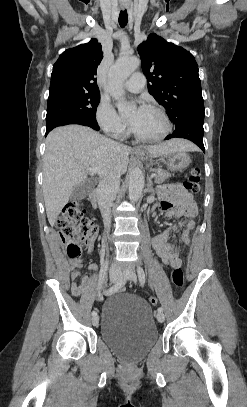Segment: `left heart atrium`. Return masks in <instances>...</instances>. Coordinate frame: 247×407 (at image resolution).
Wrapping results in <instances>:
<instances>
[{"instance_id":"obj_1","label":"left heart atrium","mask_w":247,"mask_h":407,"mask_svg":"<svg viewBox=\"0 0 247 407\" xmlns=\"http://www.w3.org/2000/svg\"><path fill=\"white\" fill-rule=\"evenodd\" d=\"M144 109H145V108L141 106V107H139V108L134 112V114L130 117V123H131V124H134V123L137 121L139 115L142 113V111H143Z\"/></svg>"}]
</instances>
